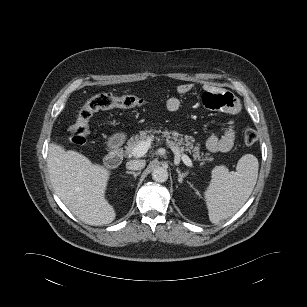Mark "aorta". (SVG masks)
<instances>
[{
    "instance_id": "aorta-1",
    "label": "aorta",
    "mask_w": 307,
    "mask_h": 307,
    "mask_svg": "<svg viewBox=\"0 0 307 307\" xmlns=\"http://www.w3.org/2000/svg\"><path fill=\"white\" fill-rule=\"evenodd\" d=\"M152 179L156 182L163 183L168 179V171L163 167H155L152 171Z\"/></svg>"
}]
</instances>
